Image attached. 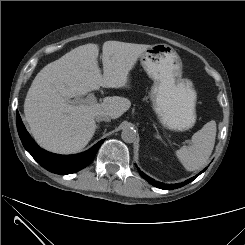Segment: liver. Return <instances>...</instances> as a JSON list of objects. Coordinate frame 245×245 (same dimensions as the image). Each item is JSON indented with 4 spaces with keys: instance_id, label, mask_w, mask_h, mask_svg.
Returning <instances> with one entry per match:
<instances>
[{
    "instance_id": "obj_1",
    "label": "liver",
    "mask_w": 245,
    "mask_h": 245,
    "mask_svg": "<svg viewBox=\"0 0 245 245\" xmlns=\"http://www.w3.org/2000/svg\"><path fill=\"white\" fill-rule=\"evenodd\" d=\"M150 46L104 42L103 75L98 67L99 46L92 43L76 47L47 64L34 78L24 102L25 118L36 142L59 154L82 150L95 133L97 114L117 119L131 102L119 96L105 97L96 104H75L71 99L100 86L129 88L130 71Z\"/></svg>"
}]
</instances>
